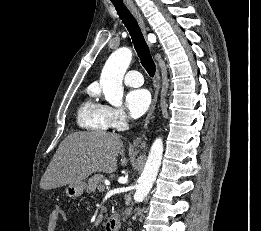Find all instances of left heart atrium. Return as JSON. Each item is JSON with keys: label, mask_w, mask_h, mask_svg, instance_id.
Segmentation results:
<instances>
[{"label": "left heart atrium", "mask_w": 261, "mask_h": 231, "mask_svg": "<svg viewBox=\"0 0 261 231\" xmlns=\"http://www.w3.org/2000/svg\"><path fill=\"white\" fill-rule=\"evenodd\" d=\"M125 103L132 116L140 117L150 108L151 95L146 89H134L127 93Z\"/></svg>", "instance_id": "1"}]
</instances>
